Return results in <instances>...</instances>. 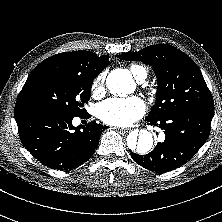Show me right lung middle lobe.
<instances>
[{"mask_svg": "<svg viewBox=\"0 0 222 222\" xmlns=\"http://www.w3.org/2000/svg\"><path fill=\"white\" fill-rule=\"evenodd\" d=\"M95 77L77 73H52L24 85L15 107H45L70 116L86 113Z\"/></svg>", "mask_w": 222, "mask_h": 222, "instance_id": "1", "label": "right lung middle lobe"}]
</instances>
